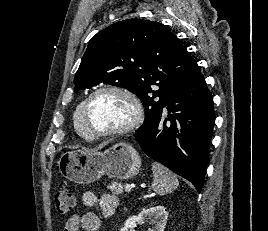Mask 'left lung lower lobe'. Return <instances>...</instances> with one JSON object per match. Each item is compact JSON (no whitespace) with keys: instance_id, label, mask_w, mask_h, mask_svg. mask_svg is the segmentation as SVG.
I'll return each mask as SVG.
<instances>
[{"instance_id":"0a47b994","label":"left lung lower lobe","mask_w":268,"mask_h":231,"mask_svg":"<svg viewBox=\"0 0 268 231\" xmlns=\"http://www.w3.org/2000/svg\"><path fill=\"white\" fill-rule=\"evenodd\" d=\"M214 122L213 98L196 64L171 88L155 123L134 136L150 158L201 192Z\"/></svg>"}]
</instances>
